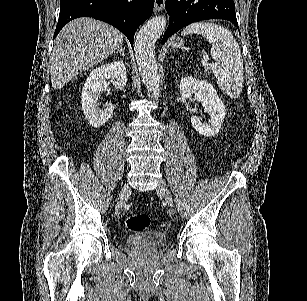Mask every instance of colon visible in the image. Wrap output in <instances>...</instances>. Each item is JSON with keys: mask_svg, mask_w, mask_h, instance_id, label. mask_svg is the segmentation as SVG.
Segmentation results:
<instances>
[{"mask_svg": "<svg viewBox=\"0 0 307 301\" xmlns=\"http://www.w3.org/2000/svg\"><path fill=\"white\" fill-rule=\"evenodd\" d=\"M150 223L151 219L148 214H133L125 221L126 228L132 232H142L150 226Z\"/></svg>", "mask_w": 307, "mask_h": 301, "instance_id": "obj_1", "label": "colon"}]
</instances>
